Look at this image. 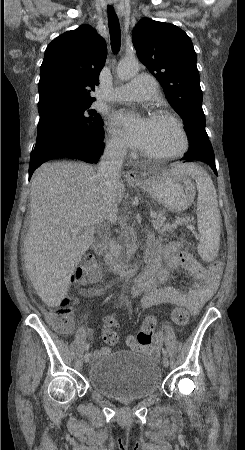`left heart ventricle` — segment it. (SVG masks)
<instances>
[{
	"label": "left heart ventricle",
	"mask_w": 245,
	"mask_h": 450,
	"mask_svg": "<svg viewBox=\"0 0 245 450\" xmlns=\"http://www.w3.org/2000/svg\"><path fill=\"white\" fill-rule=\"evenodd\" d=\"M181 145V136L170 122L165 120H150V128L143 151L153 153H170Z\"/></svg>",
	"instance_id": "left-heart-ventricle-1"
}]
</instances>
